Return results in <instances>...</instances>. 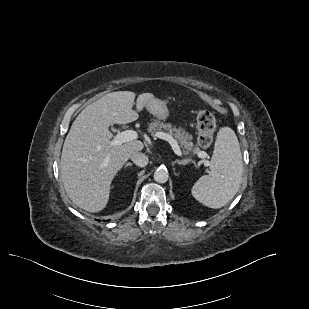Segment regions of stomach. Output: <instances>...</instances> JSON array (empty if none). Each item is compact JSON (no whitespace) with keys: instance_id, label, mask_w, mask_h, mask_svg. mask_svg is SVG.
Listing matches in <instances>:
<instances>
[{"instance_id":"stomach-1","label":"stomach","mask_w":309,"mask_h":309,"mask_svg":"<svg viewBox=\"0 0 309 309\" xmlns=\"http://www.w3.org/2000/svg\"><path fill=\"white\" fill-rule=\"evenodd\" d=\"M146 109L157 119L165 120L169 117V110L167 108L166 102L153 99L146 105Z\"/></svg>"}]
</instances>
